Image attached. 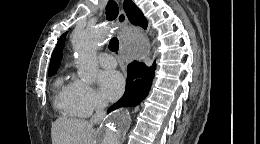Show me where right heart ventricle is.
Masks as SVG:
<instances>
[{
    "label": "right heart ventricle",
    "mask_w": 260,
    "mask_h": 144,
    "mask_svg": "<svg viewBox=\"0 0 260 144\" xmlns=\"http://www.w3.org/2000/svg\"><path fill=\"white\" fill-rule=\"evenodd\" d=\"M55 106L65 116L81 117L73 97V82H65L60 77L55 82Z\"/></svg>",
    "instance_id": "right-heart-ventricle-1"
}]
</instances>
